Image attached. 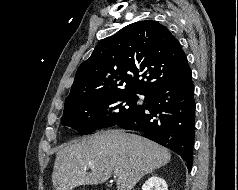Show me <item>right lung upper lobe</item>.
Here are the masks:
<instances>
[{"label":"right lung upper lobe","instance_id":"cb5924a9","mask_svg":"<svg viewBox=\"0 0 238 190\" xmlns=\"http://www.w3.org/2000/svg\"><path fill=\"white\" fill-rule=\"evenodd\" d=\"M187 64L179 41L167 27L152 20L132 23L98 43L79 66L65 108L84 94L133 92L146 96Z\"/></svg>","mask_w":238,"mask_h":190}]
</instances>
